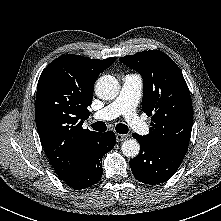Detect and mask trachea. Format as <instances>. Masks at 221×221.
I'll list each match as a JSON object with an SVG mask.
<instances>
[{"mask_svg": "<svg viewBox=\"0 0 221 221\" xmlns=\"http://www.w3.org/2000/svg\"><path fill=\"white\" fill-rule=\"evenodd\" d=\"M91 126L95 131L105 132L107 130L106 124L102 121L95 122ZM115 129L119 134H127L129 131L128 127L122 123L117 124Z\"/></svg>", "mask_w": 221, "mask_h": 221, "instance_id": "obj_1", "label": "trachea"}]
</instances>
